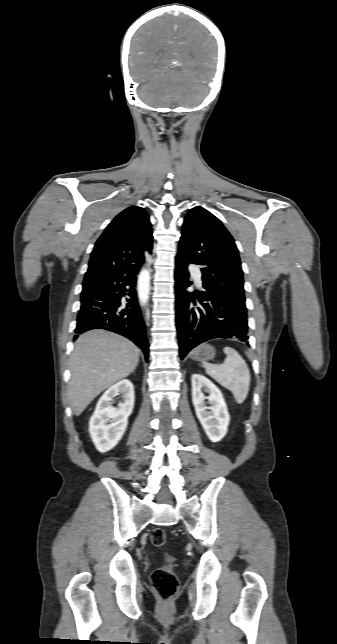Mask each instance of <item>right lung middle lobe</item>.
<instances>
[{
  "label": "right lung middle lobe",
  "mask_w": 337,
  "mask_h": 644,
  "mask_svg": "<svg viewBox=\"0 0 337 644\" xmlns=\"http://www.w3.org/2000/svg\"><path fill=\"white\" fill-rule=\"evenodd\" d=\"M93 284H83L82 293L86 292Z\"/></svg>",
  "instance_id": "right-lung-middle-lobe-1"
}]
</instances>
